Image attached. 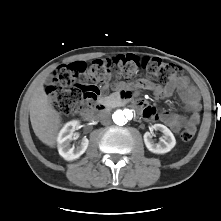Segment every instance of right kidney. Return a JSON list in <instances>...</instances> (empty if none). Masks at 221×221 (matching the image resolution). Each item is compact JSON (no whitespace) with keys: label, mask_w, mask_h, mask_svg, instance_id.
<instances>
[{"label":"right kidney","mask_w":221,"mask_h":221,"mask_svg":"<svg viewBox=\"0 0 221 221\" xmlns=\"http://www.w3.org/2000/svg\"><path fill=\"white\" fill-rule=\"evenodd\" d=\"M78 124V120L70 121L63 126L58 134V151L59 154L67 161L78 159L86 151L89 144V140L87 138H83L81 144L76 148L74 146H70L73 132Z\"/></svg>","instance_id":"obj_1"}]
</instances>
